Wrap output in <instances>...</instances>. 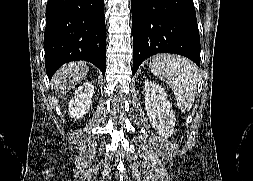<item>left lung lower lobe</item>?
Wrapping results in <instances>:
<instances>
[{"mask_svg":"<svg viewBox=\"0 0 253 181\" xmlns=\"http://www.w3.org/2000/svg\"><path fill=\"white\" fill-rule=\"evenodd\" d=\"M133 74L157 53L186 56L200 66V38L193 0H131Z\"/></svg>","mask_w":253,"mask_h":181,"instance_id":"obj_1","label":"left lung lower lobe"}]
</instances>
